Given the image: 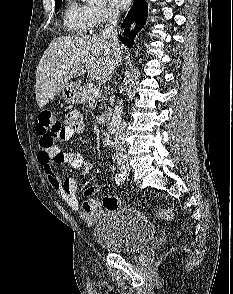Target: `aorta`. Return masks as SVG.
Segmentation results:
<instances>
[{"label": "aorta", "mask_w": 233, "mask_h": 294, "mask_svg": "<svg viewBox=\"0 0 233 294\" xmlns=\"http://www.w3.org/2000/svg\"><path fill=\"white\" fill-rule=\"evenodd\" d=\"M107 0H86L88 4L91 5H103ZM123 114V103L122 100L118 101L117 105L114 108L112 119L110 122V131L111 134H116L119 128L123 125L122 122Z\"/></svg>", "instance_id": "obj_1"}]
</instances>
